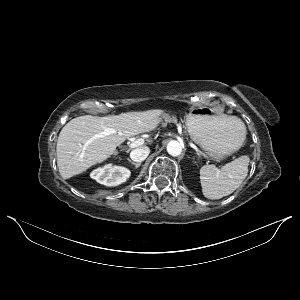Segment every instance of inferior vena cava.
<instances>
[{"mask_svg":"<svg viewBox=\"0 0 300 300\" xmlns=\"http://www.w3.org/2000/svg\"><path fill=\"white\" fill-rule=\"evenodd\" d=\"M150 153V149L147 146L136 148L130 153V158L135 162L144 161Z\"/></svg>","mask_w":300,"mask_h":300,"instance_id":"inferior-vena-cava-1","label":"inferior vena cava"}]
</instances>
